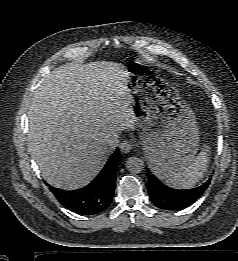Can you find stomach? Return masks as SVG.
<instances>
[{"mask_svg": "<svg viewBox=\"0 0 238 261\" xmlns=\"http://www.w3.org/2000/svg\"><path fill=\"white\" fill-rule=\"evenodd\" d=\"M132 108L140 118L141 144L153 173L167 180L194 159L200 135L196 116L179 91L143 59L124 67Z\"/></svg>", "mask_w": 238, "mask_h": 261, "instance_id": "obj_1", "label": "stomach"}]
</instances>
